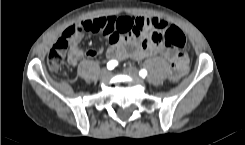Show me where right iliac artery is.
Masks as SVG:
<instances>
[{
    "mask_svg": "<svg viewBox=\"0 0 245 145\" xmlns=\"http://www.w3.org/2000/svg\"><path fill=\"white\" fill-rule=\"evenodd\" d=\"M118 65V62L117 61H115V60H111V61H109L108 63H107V69H109V70H111V69H113L115 66H117Z\"/></svg>",
    "mask_w": 245,
    "mask_h": 145,
    "instance_id": "82829eb1",
    "label": "right iliac artery"
}]
</instances>
